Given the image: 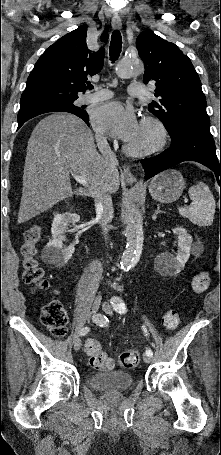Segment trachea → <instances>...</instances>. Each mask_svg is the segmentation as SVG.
I'll return each mask as SVG.
<instances>
[{"label": "trachea", "mask_w": 221, "mask_h": 455, "mask_svg": "<svg viewBox=\"0 0 221 455\" xmlns=\"http://www.w3.org/2000/svg\"><path fill=\"white\" fill-rule=\"evenodd\" d=\"M122 49V36L120 31L116 30L112 33L110 43V60L115 62L120 56ZM86 89H93L91 84H87Z\"/></svg>", "instance_id": "1"}]
</instances>
